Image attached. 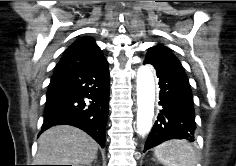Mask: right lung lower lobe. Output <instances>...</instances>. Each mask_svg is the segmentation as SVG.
Masks as SVG:
<instances>
[{"label": "right lung lower lobe", "instance_id": "right-lung-lower-lobe-1", "mask_svg": "<svg viewBox=\"0 0 236 166\" xmlns=\"http://www.w3.org/2000/svg\"><path fill=\"white\" fill-rule=\"evenodd\" d=\"M109 87L107 61L90 69L55 72L47 91L40 133L54 125H72L104 147Z\"/></svg>", "mask_w": 236, "mask_h": 166}]
</instances>
